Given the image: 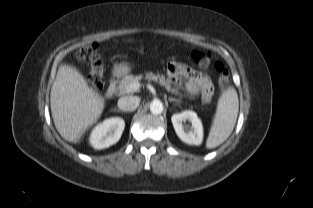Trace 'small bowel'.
Instances as JSON below:
<instances>
[{"mask_svg":"<svg viewBox=\"0 0 313 208\" xmlns=\"http://www.w3.org/2000/svg\"><path fill=\"white\" fill-rule=\"evenodd\" d=\"M168 75L176 85L185 80V89L190 95L200 94L204 101H210L214 88L208 76L187 67L184 64L171 62L167 67Z\"/></svg>","mask_w":313,"mask_h":208,"instance_id":"1","label":"small bowel"}]
</instances>
